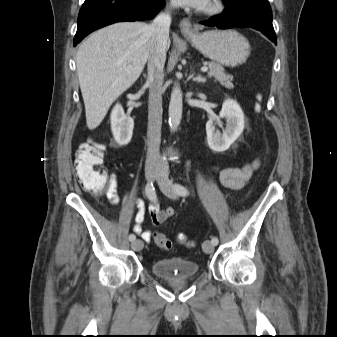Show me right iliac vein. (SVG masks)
I'll return each instance as SVG.
<instances>
[{"label": "right iliac vein", "instance_id": "right-iliac-vein-1", "mask_svg": "<svg viewBox=\"0 0 337 337\" xmlns=\"http://www.w3.org/2000/svg\"><path fill=\"white\" fill-rule=\"evenodd\" d=\"M159 174V168L155 165H148L145 169L146 178L154 181ZM131 247L134 251H140L143 248V242L139 239L132 241Z\"/></svg>", "mask_w": 337, "mask_h": 337}]
</instances>
